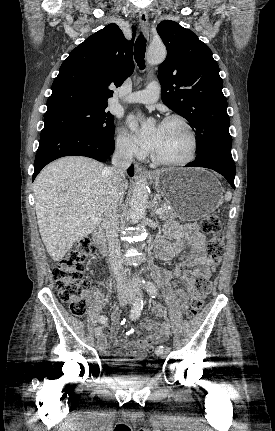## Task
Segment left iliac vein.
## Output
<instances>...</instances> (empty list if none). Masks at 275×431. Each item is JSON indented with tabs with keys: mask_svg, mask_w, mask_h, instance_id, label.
Here are the masks:
<instances>
[{
	"mask_svg": "<svg viewBox=\"0 0 275 431\" xmlns=\"http://www.w3.org/2000/svg\"><path fill=\"white\" fill-rule=\"evenodd\" d=\"M136 297V294H134V295H132V298L134 299ZM169 352H170V348L169 347H167V348H165L164 350H163V352L161 353V358H163V359H165L167 356H168V354H169Z\"/></svg>",
	"mask_w": 275,
	"mask_h": 431,
	"instance_id": "obj_1",
	"label": "left iliac vein"
}]
</instances>
